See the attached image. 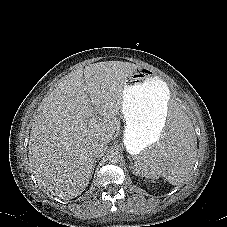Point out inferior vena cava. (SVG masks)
<instances>
[{"label": "inferior vena cava", "mask_w": 227, "mask_h": 227, "mask_svg": "<svg viewBox=\"0 0 227 227\" xmlns=\"http://www.w3.org/2000/svg\"><path fill=\"white\" fill-rule=\"evenodd\" d=\"M107 149V144L104 142L97 143L93 146L92 154L95 158H99L104 155Z\"/></svg>", "instance_id": "1"}]
</instances>
